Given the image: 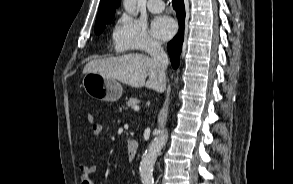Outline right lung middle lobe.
Wrapping results in <instances>:
<instances>
[{
    "label": "right lung middle lobe",
    "mask_w": 293,
    "mask_h": 184,
    "mask_svg": "<svg viewBox=\"0 0 293 184\" xmlns=\"http://www.w3.org/2000/svg\"><path fill=\"white\" fill-rule=\"evenodd\" d=\"M104 29H105V24L99 25V26H95V34L96 35L101 34Z\"/></svg>",
    "instance_id": "dd1d6c3e"
}]
</instances>
